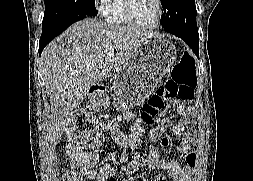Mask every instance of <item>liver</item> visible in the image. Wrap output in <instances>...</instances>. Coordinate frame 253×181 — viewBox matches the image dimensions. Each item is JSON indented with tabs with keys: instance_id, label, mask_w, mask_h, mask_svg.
I'll use <instances>...</instances> for the list:
<instances>
[{
	"instance_id": "1",
	"label": "liver",
	"mask_w": 253,
	"mask_h": 181,
	"mask_svg": "<svg viewBox=\"0 0 253 181\" xmlns=\"http://www.w3.org/2000/svg\"><path fill=\"white\" fill-rule=\"evenodd\" d=\"M153 33L97 19L74 23L42 53L43 78L51 106V141L59 143L72 112L89 89L113 77ZM113 52L111 59L106 53Z\"/></svg>"
}]
</instances>
